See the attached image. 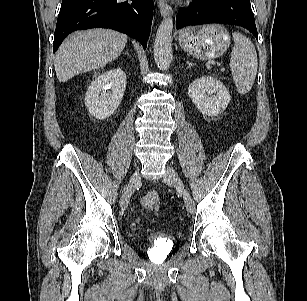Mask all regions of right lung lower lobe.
<instances>
[{
	"mask_svg": "<svg viewBox=\"0 0 307 301\" xmlns=\"http://www.w3.org/2000/svg\"><path fill=\"white\" fill-rule=\"evenodd\" d=\"M153 0H63L53 51L75 30L110 28L138 40L145 49L153 18Z\"/></svg>",
	"mask_w": 307,
	"mask_h": 301,
	"instance_id": "right-lung-lower-lobe-1",
	"label": "right lung lower lobe"
}]
</instances>
